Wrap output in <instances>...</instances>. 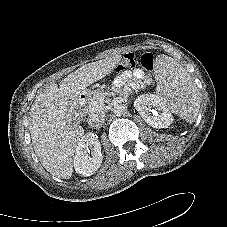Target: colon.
<instances>
[{"mask_svg": "<svg viewBox=\"0 0 227 227\" xmlns=\"http://www.w3.org/2000/svg\"><path fill=\"white\" fill-rule=\"evenodd\" d=\"M141 66L148 72H153L155 69V57L152 53H145L140 58ZM136 65L135 55L130 53L127 54L123 60L117 66V70L124 71L128 68H133Z\"/></svg>", "mask_w": 227, "mask_h": 227, "instance_id": "colon-1", "label": "colon"}]
</instances>
